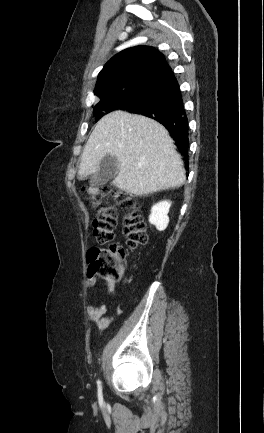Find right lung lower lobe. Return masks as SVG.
Here are the masks:
<instances>
[{
	"label": "right lung lower lobe",
	"instance_id": "1",
	"mask_svg": "<svg viewBox=\"0 0 264 433\" xmlns=\"http://www.w3.org/2000/svg\"><path fill=\"white\" fill-rule=\"evenodd\" d=\"M126 110L163 124L188 160V119L178 82L166 62L141 85Z\"/></svg>",
	"mask_w": 264,
	"mask_h": 433
}]
</instances>
